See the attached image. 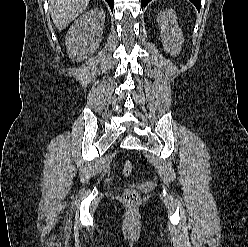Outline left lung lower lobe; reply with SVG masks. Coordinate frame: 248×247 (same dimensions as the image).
<instances>
[{"label":"left lung lower lobe","mask_w":248,"mask_h":247,"mask_svg":"<svg viewBox=\"0 0 248 247\" xmlns=\"http://www.w3.org/2000/svg\"><path fill=\"white\" fill-rule=\"evenodd\" d=\"M151 0H141V6L142 9L146 7V5L150 2ZM198 10H200L201 7V0H190Z\"/></svg>","instance_id":"left-lung-lower-lobe-1"}]
</instances>
